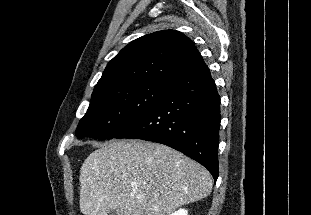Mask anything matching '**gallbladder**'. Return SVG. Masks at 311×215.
Listing matches in <instances>:
<instances>
[{"label":"gallbladder","instance_id":"gallbladder-1","mask_svg":"<svg viewBox=\"0 0 311 215\" xmlns=\"http://www.w3.org/2000/svg\"><path fill=\"white\" fill-rule=\"evenodd\" d=\"M108 215H119L116 210H111Z\"/></svg>","mask_w":311,"mask_h":215}]
</instances>
